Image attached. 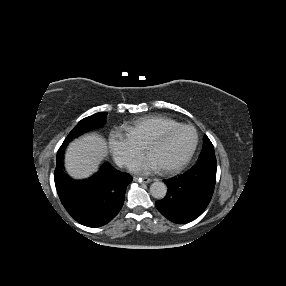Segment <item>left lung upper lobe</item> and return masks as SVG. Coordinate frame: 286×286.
<instances>
[{"label":"left lung upper lobe","instance_id":"5c2ea615","mask_svg":"<svg viewBox=\"0 0 286 286\" xmlns=\"http://www.w3.org/2000/svg\"><path fill=\"white\" fill-rule=\"evenodd\" d=\"M215 157L214 147L207 136L204 137L203 149L199 156L198 161H202L207 158Z\"/></svg>","mask_w":286,"mask_h":286}]
</instances>
